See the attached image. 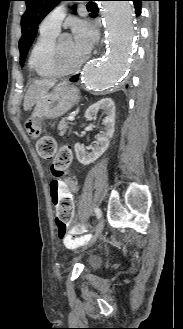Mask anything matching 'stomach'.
<instances>
[{
    "mask_svg": "<svg viewBox=\"0 0 183 329\" xmlns=\"http://www.w3.org/2000/svg\"><path fill=\"white\" fill-rule=\"evenodd\" d=\"M78 98L74 87L64 83L58 84L52 92L37 101L31 117L25 124L28 135L33 139L38 138L42 131L41 121L61 117L75 105Z\"/></svg>",
    "mask_w": 183,
    "mask_h": 329,
    "instance_id": "0dacf381",
    "label": "stomach"
}]
</instances>
